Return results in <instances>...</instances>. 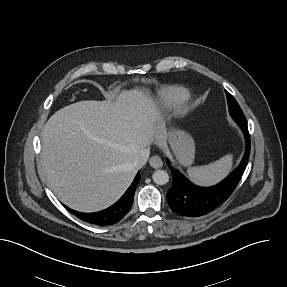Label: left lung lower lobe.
Returning a JSON list of instances; mask_svg holds the SVG:
<instances>
[{"mask_svg":"<svg viewBox=\"0 0 287 287\" xmlns=\"http://www.w3.org/2000/svg\"><path fill=\"white\" fill-rule=\"evenodd\" d=\"M244 132L246 151L240 165L219 184L212 187H199L191 183L179 171L171 168L173 185L167 192L170 208L185 218L204 216L226 201L235 190L247 166L250 155V136L245 120H235ZM170 167V162L167 161Z\"/></svg>","mask_w":287,"mask_h":287,"instance_id":"left-lung-lower-lobe-1","label":"left lung lower lobe"}]
</instances>
